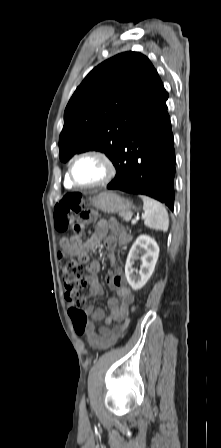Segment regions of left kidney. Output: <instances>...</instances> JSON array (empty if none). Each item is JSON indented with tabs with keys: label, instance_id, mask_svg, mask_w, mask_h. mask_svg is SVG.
<instances>
[{
	"label": "left kidney",
	"instance_id": "left-kidney-1",
	"mask_svg": "<svg viewBox=\"0 0 221 448\" xmlns=\"http://www.w3.org/2000/svg\"><path fill=\"white\" fill-rule=\"evenodd\" d=\"M139 255H141L139 257ZM159 256V246L156 241L148 235H140L132 245L126 265V279L133 290L141 289L154 272ZM141 260L140 270L134 269L135 261Z\"/></svg>",
	"mask_w": 221,
	"mask_h": 448
}]
</instances>
